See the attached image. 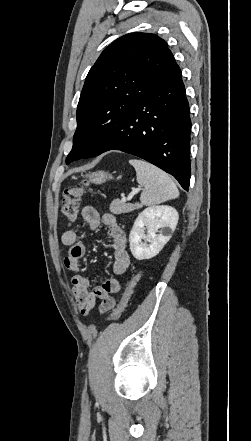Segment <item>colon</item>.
I'll return each instance as SVG.
<instances>
[{
  "label": "colon",
  "instance_id": "colon-1",
  "mask_svg": "<svg viewBox=\"0 0 251 441\" xmlns=\"http://www.w3.org/2000/svg\"><path fill=\"white\" fill-rule=\"evenodd\" d=\"M88 182H84L80 186L71 187L64 191L62 201V212L67 223H73L78 214L80 201L83 195L88 191ZM137 283V278L130 281L126 287L119 303L116 305L110 316L107 318V322H113L118 320L123 314L128 301L133 293L134 287Z\"/></svg>",
  "mask_w": 251,
  "mask_h": 441
}]
</instances>
